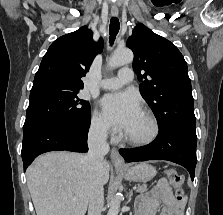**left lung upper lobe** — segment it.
I'll return each mask as SVG.
<instances>
[{
	"mask_svg": "<svg viewBox=\"0 0 223 215\" xmlns=\"http://www.w3.org/2000/svg\"><path fill=\"white\" fill-rule=\"evenodd\" d=\"M127 47L134 53L135 73L140 81L145 79L140 93L154 112L159 130L196 127L187 63L178 48L143 24L134 28Z\"/></svg>",
	"mask_w": 223,
	"mask_h": 215,
	"instance_id": "1",
	"label": "left lung upper lobe"
}]
</instances>
